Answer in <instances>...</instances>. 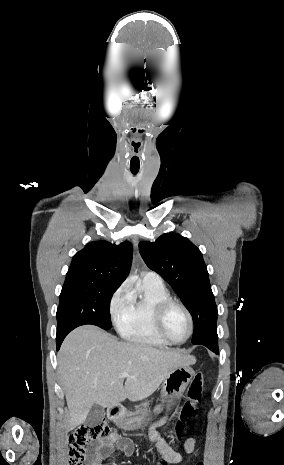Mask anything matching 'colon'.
<instances>
[{
  "label": "colon",
  "instance_id": "obj_1",
  "mask_svg": "<svg viewBox=\"0 0 284 465\" xmlns=\"http://www.w3.org/2000/svg\"><path fill=\"white\" fill-rule=\"evenodd\" d=\"M204 376L202 373L197 372L193 375L192 381L188 389L189 400L184 405V411L189 413H181L179 416L180 421L169 428V436L171 438H188L190 435L189 430L194 429L193 416L191 413L196 411L195 405H200L204 399ZM107 435V426L102 422L91 424L87 427L77 430L70 437V461L69 465H82L83 464V447L93 440H98ZM173 447H183L185 442L183 440H173L171 442ZM196 465H203L202 462H197Z\"/></svg>",
  "mask_w": 284,
  "mask_h": 465
}]
</instances>
